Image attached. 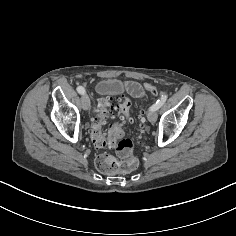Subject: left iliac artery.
I'll list each match as a JSON object with an SVG mask.
<instances>
[{"label":"left iliac artery","mask_w":236,"mask_h":236,"mask_svg":"<svg viewBox=\"0 0 236 236\" xmlns=\"http://www.w3.org/2000/svg\"><path fill=\"white\" fill-rule=\"evenodd\" d=\"M167 100V95L164 94L161 96V98L159 100L156 101L155 104H153L151 107H150V110H158Z\"/></svg>","instance_id":"44dca946"}]
</instances>
